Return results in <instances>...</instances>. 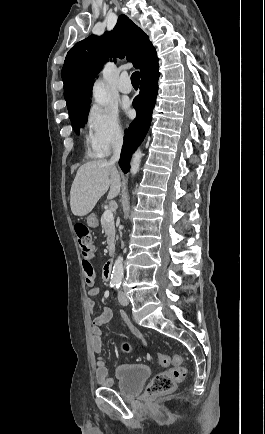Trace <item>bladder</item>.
<instances>
[{"instance_id":"1","label":"bladder","mask_w":265,"mask_h":434,"mask_svg":"<svg viewBox=\"0 0 265 434\" xmlns=\"http://www.w3.org/2000/svg\"><path fill=\"white\" fill-rule=\"evenodd\" d=\"M118 393L127 398L139 394L143 384L151 375V369L143 364L126 363L118 365L114 372Z\"/></svg>"}]
</instances>
